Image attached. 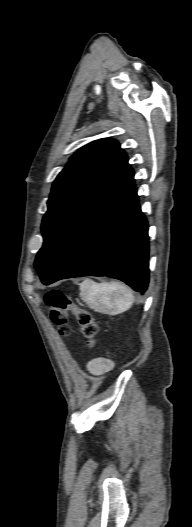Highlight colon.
Instances as JSON below:
<instances>
[{
	"mask_svg": "<svg viewBox=\"0 0 192 527\" xmlns=\"http://www.w3.org/2000/svg\"><path fill=\"white\" fill-rule=\"evenodd\" d=\"M45 303L49 308L50 318L63 335L71 333L68 320L73 313L78 321L79 332L89 346H95L99 327L91 313L75 305L73 301L60 290H51L45 296Z\"/></svg>",
	"mask_w": 192,
	"mask_h": 527,
	"instance_id": "colon-1",
	"label": "colon"
}]
</instances>
